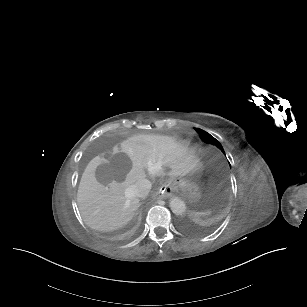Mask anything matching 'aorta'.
<instances>
[{
    "instance_id": "aorta-1",
    "label": "aorta",
    "mask_w": 307,
    "mask_h": 307,
    "mask_svg": "<svg viewBox=\"0 0 307 307\" xmlns=\"http://www.w3.org/2000/svg\"><path fill=\"white\" fill-rule=\"evenodd\" d=\"M172 212L176 215H182L186 212V204L184 201L174 198L171 203Z\"/></svg>"
}]
</instances>
